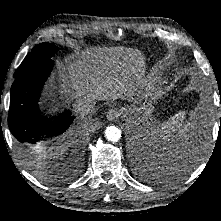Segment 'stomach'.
<instances>
[{"mask_svg":"<svg viewBox=\"0 0 221 221\" xmlns=\"http://www.w3.org/2000/svg\"><path fill=\"white\" fill-rule=\"evenodd\" d=\"M140 84L141 88L144 90V93L140 99L142 105L139 110L142 115L148 116L153 112V105L150 100H148V97L152 95L153 88L151 82L147 78H142Z\"/></svg>","mask_w":221,"mask_h":221,"instance_id":"1","label":"stomach"}]
</instances>
